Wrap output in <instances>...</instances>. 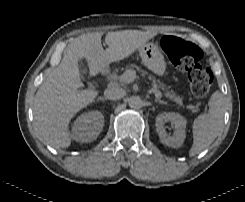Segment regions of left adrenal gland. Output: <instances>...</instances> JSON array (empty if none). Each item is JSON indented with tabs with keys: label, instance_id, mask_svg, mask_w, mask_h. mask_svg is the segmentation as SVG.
<instances>
[{
	"label": "left adrenal gland",
	"instance_id": "obj_1",
	"mask_svg": "<svg viewBox=\"0 0 245 202\" xmlns=\"http://www.w3.org/2000/svg\"><path fill=\"white\" fill-rule=\"evenodd\" d=\"M155 102L156 103H160V104H166V102H164L163 100H161V99H155Z\"/></svg>",
	"mask_w": 245,
	"mask_h": 202
}]
</instances>
